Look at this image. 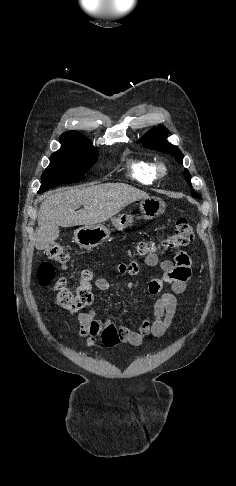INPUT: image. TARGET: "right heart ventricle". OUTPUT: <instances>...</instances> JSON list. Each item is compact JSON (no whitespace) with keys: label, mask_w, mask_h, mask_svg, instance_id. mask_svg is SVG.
I'll return each mask as SVG.
<instances>
[{"label":"right heart ventricle","mask_w":236,"mask_h":486,"mask_svg":"<svg viewBox=\"0 0 236 486\" xmlns=\"http://www.w3.org/2000/svg\"><path fill=\"white\" fill-rule=\"evenodd\" d=\"M130 176L142 184H151L157 179L156 164L150 159H135L129 163Z\"/></svg>","instance_id":"1"}]
</instances>
